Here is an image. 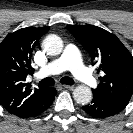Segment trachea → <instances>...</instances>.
I'll return each instance as SVG.
<instances>
[{
  "mask_svg": "<svg viewBox=\"0 0 133 133\" xmlns=\"http://www.w3.org/2000/svg\"><path fill=\"white\" fill-rule=\"evenodd\" d=\"M60 81H61V83L66 84V85H73L74 84L73 79L70 77H63V78H61ZM54 83H55V81L53 78L47 77V78L42 79L39 82V85L46 87V86H53Z\"/></svg>",
  "mask_w": 133,
  "mask_h": 133,
  "instance_id": "3493384b",
  "label": "trachea"
}]
</instances>
